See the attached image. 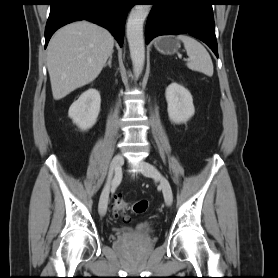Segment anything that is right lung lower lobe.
Returning a JSON list of instances; mask_svg holds the SVG:
<instances>
[{
  "label": "right lung lower lobe",
  "mask_w": 278,
  "mask_h": 278,
  "mask_svg": "<svg viewBox=\"0 0 278 278\" xmlns=\"http://www.w3.org/2000/svg\"><path fill=\"white\" fill-rule=\"evenodd\" d=\"M133 0H52L45 28V48L60 27L78 20H89L108 29L123 44L124 25Z\"/></svg>",
  "instance_id": "1"
}]
</instances>
